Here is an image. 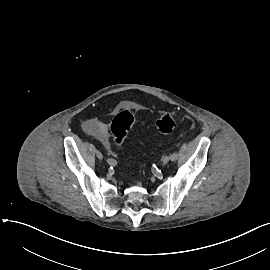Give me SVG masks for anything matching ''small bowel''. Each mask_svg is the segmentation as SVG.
<instances>
[{
  "mask_svg": "<svg viewBox=\"0 0 270 270\" xmlns=\"http://www.w3.org/2000/svg\"><path fill=\"white\" fill-rule=\"evenodd\" d=\"M84 128L88 134L97 138L104 146L109 147V133L105 122L92 118L85 122Z\"/></svg>",
  "mask_w": 270,
  "mask_h": 270,
  "instance_id": "small-bowel-1",
  "label": "small bowel"
}]
</instances>
